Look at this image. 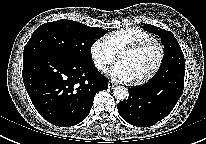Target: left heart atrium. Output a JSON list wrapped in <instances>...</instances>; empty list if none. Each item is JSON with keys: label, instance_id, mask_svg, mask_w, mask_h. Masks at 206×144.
I'll use <instances>...</instances> for the list:
<instances>
[{"label": "left heart atrium", "instance_id": "left-heart-atrium-1", "mask_svg": "<svg viewBox=\"0 0 206 144\" xmlns=\"http://www.w3.org/2000/svg\"><path fill=\"white\" fill-rule=\"evenodd\" d=\"M109 75L118 81L121 82H130L134 80V76L129 70V68L123 64V63H118L116 64L110 71Z\"/></svg>", "mask_w": 206, "mask_h": 144}]
</instances>
